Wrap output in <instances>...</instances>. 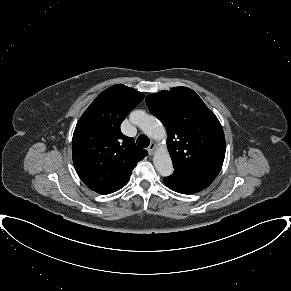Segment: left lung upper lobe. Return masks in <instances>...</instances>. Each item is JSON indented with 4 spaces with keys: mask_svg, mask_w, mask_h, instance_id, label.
<instances>
[{
    "mask_svg": "<svg viewBox=\"0 0 291 291\" xmlns=\"http://www.w3.org/2000/svg\"><path fill=\"white\" fill-rule=\"evenodd\" d=\"M149 110L166 127L175 170L216 178L225 157L217 117L191 89L175 87L146 97Z\"/></svg>",
    "mask_w": 291,
    "mask_h": 291,
    "instance_id": "obj_1",
    "label": "left lung upper lobe"
}]
</instances>
